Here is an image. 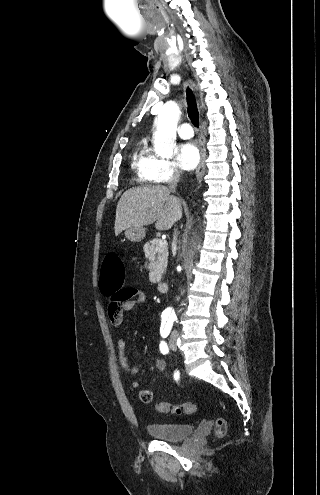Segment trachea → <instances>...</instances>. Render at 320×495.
Masks as SVG:
<instances>
[{
  "instance_id": "3493384b",
  "label": "trachea",
  "mask_w": 320,
  "mask_h": 495,
  "mask_svg": "<svg viewBox=\"0 0 320 495\" xmlns=\"http://www.w3.org/2000/svg\"><path fill=\"white\" fill-rule=\"evenodd\" d=\"M186 94H187V104H188V116L192 121V123L196 127H199V113H198L195 97L193 95V92L189 88L187 89Z\"/></svg>"
}]
</instances>
